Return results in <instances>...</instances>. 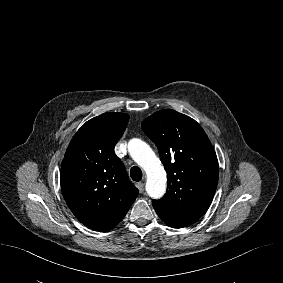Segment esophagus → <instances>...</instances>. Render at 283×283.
Here are the masks:
<instances>
[{"instance_id": "obj_1", "label": "esophagus", "mask_w": 283, "mask_h": 283, "mask_svg": "<svg viewBox=\"0 0 283 283\" xmlns=\"http://www.w3.org/2000/svg\"><path fill=\"white\" fill-rule=\"evenodd\" d=\"M137 188H138L140 193H143L144 192V183L143 182L137 183Z\"/></svg>"}]
</instances>
